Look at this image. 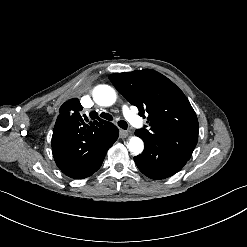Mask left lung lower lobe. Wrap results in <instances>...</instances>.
Masks as SVG:
<instances>
[{
  "label": "left lung lower lobe",
  "mask_w": 247,
  "mask_h": 247,
  "mask_svg": "<svg viewBox=\"0 0 247 247\" xmlns=\"http://www.w3.org/2000/svg\"><path fill=\"white\" fill-rule=\"evenodd\" d=\"M135 134L144 141L145 149L141 155L134 157V161L139 170L151 179L168 178L181 170L189 160Z\"/></svg>",
  "instance_id": "1"
}]
</instances>
